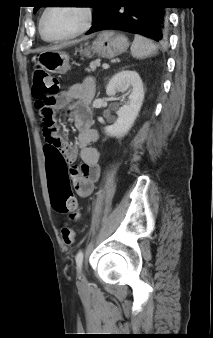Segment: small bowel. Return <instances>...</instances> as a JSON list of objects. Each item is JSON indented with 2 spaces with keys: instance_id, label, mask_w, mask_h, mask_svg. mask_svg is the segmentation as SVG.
<instances>
[{
  "instance_id": "small-bowel-1",
  "label": "small bowel",
  "mask_w": 213,
  "mask_h": 338,
  "mask_svg": "<svg viewBox=\"0 0 213 338\" xmlns=\"http://www.w3.org/2000/svg\"><path fill=\"white\" fill-rule=\"evenodd\" d=\"M94 93L93 79L87 78L82 83L73 84L67 90L61 91L55 97L56 109L82 106L83 110L74 119L79 131L77 147L60 137L56 130L52 134L59 138V142L46 144L44 147L50 191L67 182L69 176H72L76 194L86 198L92 194L94 183L100 177V154L96 148L90 146L97 141L98 134L91 126L90 112L86 109ZM78 156L82 161L80 167L74 163Z\"/></svg>"
}]
</instances>
